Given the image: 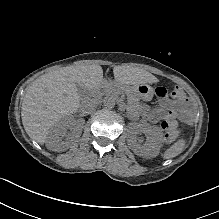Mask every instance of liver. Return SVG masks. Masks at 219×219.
<instances>
[{
    "mask_svg": "<svg viewBox=\"0 0 219 219\" xmlns=\"http://www.w3.org/2000/svg\"><path fill=\"white\" fill-rule=\"evenodd\" d=\"M115 82L120 84L140 85L151 82L152 75L139 68L115 66ZM103 69L100 65L67 66L41 75L26 88L22 103V124L28 136L44 144L51 130L62 120L73 117L86 104L93 105L96 98L93 90L106 85ZM80 88L89 91L81 97Z\"/></svg>",
    "mask_w": 219,
    "mask_h": 219,
    "instance_id": "obj_1",
    "label": "liver"
}]
</instances>
